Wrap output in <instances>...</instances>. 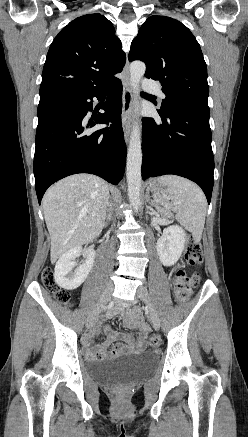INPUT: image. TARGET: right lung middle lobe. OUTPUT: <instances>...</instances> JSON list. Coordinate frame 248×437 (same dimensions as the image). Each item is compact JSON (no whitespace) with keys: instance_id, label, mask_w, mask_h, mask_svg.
<instances>
[{"instance_id":"obj_1","label":"right lung middle lobe","mask_w":248,"mask_h":437,"mask_svg":"<svg viewBox=\"0 0 248 437\" xmlns=\"http://www.w3.org/2000/svg\"><path fill=\"white\" fill-rule=\"evenodd\" d=\"M51 93H60V92H51ZM51 93H48V94H51Z\"/></svg>"}]
</instances>
